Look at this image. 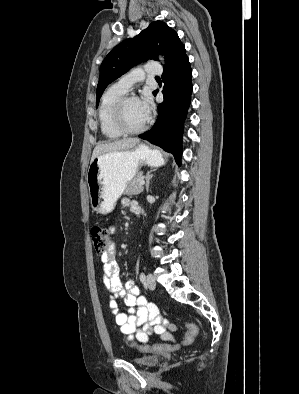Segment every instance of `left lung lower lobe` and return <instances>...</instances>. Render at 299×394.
I'll list each match as a JSON object with an SVG mask.
<instances>
[{
	"instance_id": "1",
	"label": "left lung lower lobe",
	"mask_w": 299,
	"mask_h": 394,
	"mask_svg": "<svg viewBox=\"0 0 299 394\" xmlns=\"http://www.w3.org/2000/svg\"><path fill=\"white\" fill-rule=\"evenodd\" d=\"M191 77L192 70L183 47L175 59L164 67V101L158 105L156 123L149 131L139 135L172 153L178 165L181 164L183 123L191 101Z\"/></svg>"
}]
</instances>
